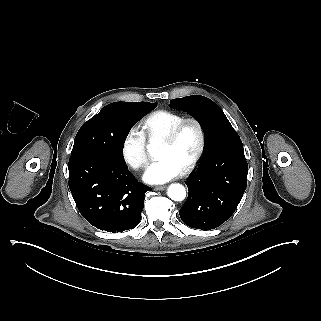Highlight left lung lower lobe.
<instances>
[{
    "instance_id": "obj_1",
    "label": "left lung lower lobe",
    "mask_w": 321,
    "mask_h": 321,
    "mask_svg": "<svg viewBox=\"0 0 321 321\" xmlns=\"http://www.w3.org/2000/svg\"><path fill=\"white\" fill-rule=\"evenodd\" d=\"M248 164L241 139L216 146L203 156L187 181L189 194L179 211L191 228L210 230L224 223L236 210L247 186Z\"/></svg>"
}]
</instances>
